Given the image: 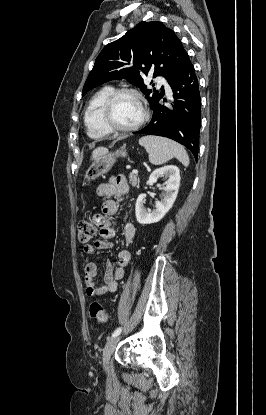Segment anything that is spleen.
Wrapping results in <instances>:
<instances>
[{
	"mask_svg": "<svg viewBox=\"0 0 266 415\" xmlns=\"http://www.w3.org/2000/svg\"><path fill=\"white\" fill-rule=\"evenodd\" d=\"M139 144L145 148L153 165H162L174 157L185 167L189 165V157L184 147L170 139L144 136L139 139Z\"/></svg>",
	"mask_w": 266,
	"mask_h": 415,
	"instance_id": "3e777b00",
	"label": "spleen"
}]
</instances>
